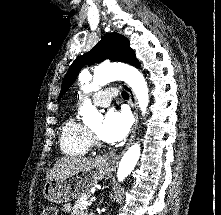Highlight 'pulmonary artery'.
Wrapping results in <instances>:
<instances>
[{"label": "pulmonary artery", "mask_w": 221, "mask_h": 215, "mask_svg": "<svg viewBox=\"0 0 221 215\" xmlns=\"http://www.w3.org/2000/svg\"><path fill=\"white\" fill-rule=\"evenodd\" d=\"M116 95L117 91L114 88H105L93 95V102L99 107H107Z\"/></svg>", "instance_id": "obj_1"}]
</instances>
